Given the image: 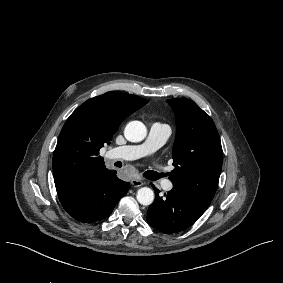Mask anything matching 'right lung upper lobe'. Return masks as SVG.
<instances>
[{
  "label": "right lung upper lobe",
  "instance_id": "1",
  "mask_svg": "<svg viewBox=\"0 0 283 283\" xmlns=\"http://www.w3.org/2000/svg\"><path fill=\"white\" fill-rule=\"evenodd\" d=\"M146 103L135 95L107 92L85 101L70 115L53 155L59 198L78 192L106 170L99 150L110 144L121 122Z\"/></svg>",
  "mask_w": 283,
  "mask_h": 283
}]
</instances>
